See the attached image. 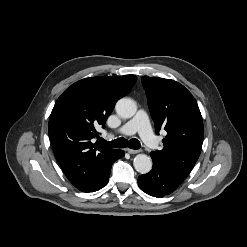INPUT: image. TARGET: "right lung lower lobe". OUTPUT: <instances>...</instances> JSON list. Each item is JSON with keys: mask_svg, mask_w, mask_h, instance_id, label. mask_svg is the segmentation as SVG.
<instances>
[{"mask_svg": "<svg viewBox=\"0 0 247 247\" xmlns=\"http://www.w3.org/2000/svg\"><path fill=\"white\" fill-rule=\"evenodd\" d=\"M123 156H124V152L122 150H118L116 152L115 156H114L113 162L115 160L123 157ZM110 169H111V166L109 167V169H108L107 173L105 174V176L95 186H93L91 189H89L86 192H94V191H97V190L103 188L105 185H107V183L109 181V176H110Z\"/></svg>", "mask_w": 247, "mask_h": 247, "instance_id": "1", "label": "right lung lower lobe"}]
</instances>
